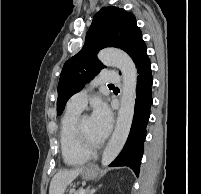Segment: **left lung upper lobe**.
<instances>
[{
    "label": "left lung upper lobe",
    "instance_id": "obj_1",
    "mask_svg": "<svg viewBox=\"0 0 201 194\" xmlns=\"http://www.w3.org/2000/svg\"><path fill=\"white\" fill-rule=\"evenodd\" d=\"M142 34L135 16L118 7H104L93 18L83 48L63 66L58 84L57 113L67 100L104 67L96 55L105 47H116L133 57Z\"/></svg>",
    "mask_w": 201,
    "mask_h": 194
}]
</instances>
